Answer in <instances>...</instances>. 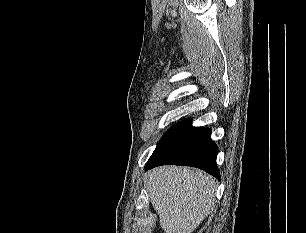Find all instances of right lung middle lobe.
<instances>
[{"instance_id": "dd1d6c3e", "label": "right lung middle lobe", "mask_w": 306, "mask_h": 233, "mask_svg": "<svg viewBox=\"0 0 306 233\" xmlns=\"http://www.w3.org/2000/svg\"><path fill=\"white\" fill-rule=\"evenodd\" d=\"M190 119L184 120L171 127L164 135L162 140L158 143L155 151L149 158L148 162L156 158L163 152L185 129L190 126Z\"/></svg>"}]
</instances>
